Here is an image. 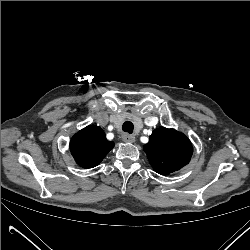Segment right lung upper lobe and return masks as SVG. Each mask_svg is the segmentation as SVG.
Masks as SVG:
<instances>
[{
  "label": "right lung upper lobe",
  "mask_w": 250,
  "mask_h": 250,
  "mask_svg": "<svg viewBox=\"0 0 250 250\" xmlns=\"http://www.w3.org/2000/svg\"><path fill=\"white\" fill-rule=\"evenodd\" d=\"M113 147L114 143L108 141L104 131L95 125L83 128L70 141L71 154L83 168L97 166Z\"/></svg>",
  "instance_id": "right-lung-upper-lobe-1"
}]
</instances>
